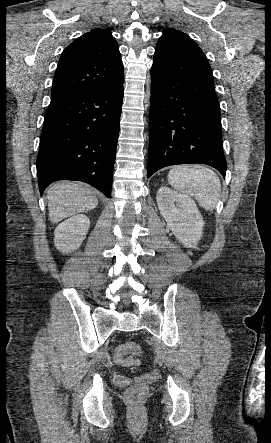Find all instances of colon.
<instances>
[{"label":"colon","mask_w":271,"mask_h":443,"mask_svg":"<svg viewBox=\"0 0 271 443\" xmlns=\"http://www.w3.org/2000/svg\"><path fill=\"white\" fill-rule=\"evenodd\" d=\"M141 348L134 342H127L116 347L114 352V360L118 364L132 366L137 364V360L133 356H139ZM146 385L144 383L136 384L127 391V398L131 403L141 401L146 393Z\"/></svg>","instance_id":"colon-1"}]
</instances>
